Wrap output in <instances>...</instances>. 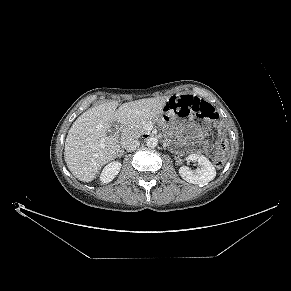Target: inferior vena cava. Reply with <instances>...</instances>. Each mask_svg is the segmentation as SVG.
<instances>
[{
	"label": "inferior vena cava",
	"mask_w": 291,
	"mask_h": 291,
	"mask_svg": "<svg viewBox=\"0 0 291 291\" xmlns=\"http://www.w3.org/2000/svg\"><path fill=\"white\" fill-rule=\"evenodd\" d=\"M139 145L140 143L137 139L130 138L129 140H127L125 148L128 152H132L135 151L139 147Z\"/></svg>",
	"instance_id": "inferior-vena-cava-1"
}]
</instances>
